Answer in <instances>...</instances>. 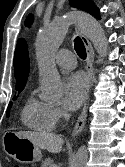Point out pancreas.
<instances>
[{
    "mask_svg": "<svg viewBox=\"0 0 125 167\" xmlns=\"http://www.w3.org/2000/svg\"><path fill=\"white\" fill-rule=\"evenodd\" d=\"M41 167H53V160L51 158H46L44 161H42Z\"/></svg>",
    "mask_w": 125,
    "mask_h": 167,
    "instance_id": "obj_1",
    "label": "pancreas"
}]
</instances>
